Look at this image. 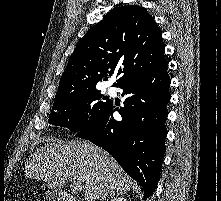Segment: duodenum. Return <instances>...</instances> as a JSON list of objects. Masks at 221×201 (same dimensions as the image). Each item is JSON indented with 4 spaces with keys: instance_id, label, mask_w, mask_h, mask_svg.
<instances>
[{
    "instance_id": "obj_1",
    "label": "duodenum",
    "mask_w": 221,
    "mask_h": 201,
    "mask_svg": "<svg viewBox=\"0 0 221 201\" xmlns=\"http://www.w3.org/2000/svg\"><path fill=\"white\" fill-rule=\"evenodd\" d=\"M57 197H58V201H77L70 196H63L59 194Z\"/></svg>"
}]
</instances>
